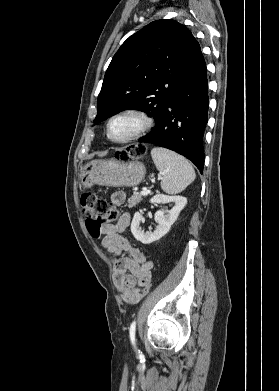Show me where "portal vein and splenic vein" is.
Returning a JSON list of instances; mask_svg holds the SVG:
<instances>
[{"mask_svg": "<svg viewBox=\"0 0 279 391\" xmlns=\"http://www.w3.org/2000/svg\"><path fill=\"white\" fill-rule=\"evenodd\" d=\"M151 193V191L150 190H147V189H144V190H142L141 192H140V194L141 195H148V194H150Z\"/></svg>", "mask_w": 279, "mask_h": 391, "instance_id": "18ae733b", "label": "portal vein and splenic vein"}]
</instances>
